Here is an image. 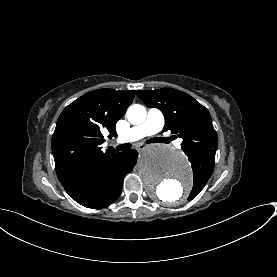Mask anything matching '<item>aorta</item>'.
Returning a JSON list of instances; mask_svg holds the SVG:
<instances>
[{
  "instance_id": "1",
  "label": "aorta",
  "mask_w": 277,
  "mask_h": 277,
  "mask_svg": "<svg viewBox=\"0 0 277 277\" xmlns=\"http://www.w3.org/2000/svg\"><path fill=\"white\" fill-rule=\"evenodd\" d=\"M127 118L139 125L146 119V109L134 104L128 108ZM138 174L152 198L171 204L184 199L193 183L186 156L162 145L145 149L138 162Z\"/></svg>"
}]
</instances>
